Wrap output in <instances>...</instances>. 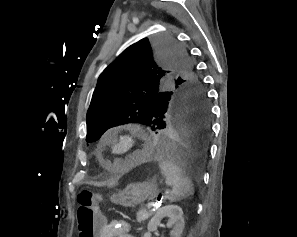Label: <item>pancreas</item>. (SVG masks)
<instances>
[{
  "label": "pancreas",
  "mask_w": 297,
  "mask_h": 237,
  "mask_svg": "<svg viewBox=\"0 0 297 237\" xmlns=\"http://www.w3.org/2000/svg\"><path fill=\"white\" fill-rule=\"evenodd\" d=\"M152 215L151 211H148L146 208H141L137 212V222L141 223L146 221Z\"/></svg>",
  "instance_id": "cf45deb5"
}]
</instances>
